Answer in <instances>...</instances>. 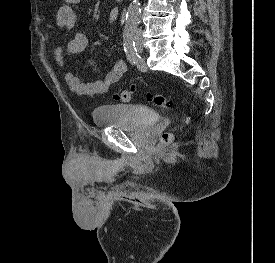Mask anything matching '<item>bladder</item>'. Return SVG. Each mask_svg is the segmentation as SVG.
I'll list each match as a JSON object with an SVG mask.
<instances>
[{"mask_svg":"<svg viewBox=\"0 0 275 263\" xmlns=\"http://www.w3.org/2000/svg\"><path fill=\"white\" fill-rule=\"evenodd\" d=\"M92 117L98 127H117L127 131L157 124L159 115L143 105L106 104L93 109Z\"/></svg>","mask_w":275,"mask_h":263,"instance_id":"bladder-1","label":"bladder"}]
</instances>
